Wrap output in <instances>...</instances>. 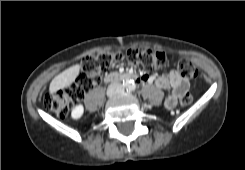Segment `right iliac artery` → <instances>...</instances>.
<instances>
[{"instance_id":"1","label":"right iliac artery","mask_w":245,"mask_h":170,"mask_svg":"<svg viewBox=\"0 0 245 170\" xmlns=\"http://www.w3.org/2000/svg\"><path fill=\"white\" fill-rule=\"evenodd\" d=\"M123 85L126 87V86H128V82H126V83H123Z\"/></svg>"}]
</instances>
